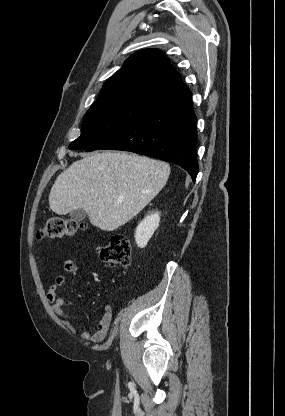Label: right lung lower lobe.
Returning a JSON list of instances; mask_svg holds the SVG:
<instances>
[{"label": "right lung lower lobe", "mask_w": 285, "mask_h": 416, "mask_svg": "<svg viewBox=\"0 0 285 416\" xmlns=\"http://www.w3.org/2000/svg\"><path fill=\"white\" fill-rule=\"evenodd\" d=\"M196 116L192 100L161 108L93 144L100 149L131 151L175 163L195 182L198 173Z\"/></svg>", "instance_id": "98d812e1"}]
</instances>
